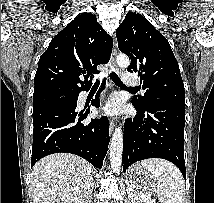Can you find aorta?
<instances>
[{
  "mask_svg": "<svg viewBox=\"0 0 214 203\" xmlns=\"http://www.w3.org/2000/svg\"><path fill=\"white\" fill-rule=\"evenodd\" d=\"M116 63L121 68H127L130 64L128 56L120 54L117 56ZM123 152V133L121 127L115 129L110 145V163L115 174L120 173Z\"/></svg>",
  "mask_w": 214,
  "mask_h": 203,
  "instance_id": "762f6f07",
  "label": "aorta"
}]
</instances>
